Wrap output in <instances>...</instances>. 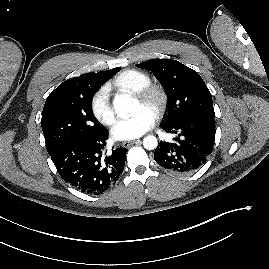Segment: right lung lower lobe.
<instances>
[{"mask_svg":"<svg viewBox=\"0 0 269 269\" xmlns=\"http://www.w3.org/2000/svg\"><path fill=\"white\" fill-rule=\"evenodd\" d=\"M107 130L72 139L49 153L61 178L77 190L99 195L115 185L125 165V148L105 151Z\"/></svg>","mask_w":269,"mask_h":269,"instance_id":"obj_1","label":"right lung lower lobe"}]
</instances>
